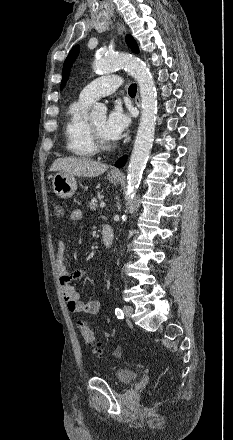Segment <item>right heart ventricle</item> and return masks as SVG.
Masks as SVG:
<instances>
[{
	"label": "right heart ventricle",
	"mask_w": 233,
	"mask_h": 440,
	"mask_svg": "<svg viewBox=\"0 0 233 440\" xmlns=\"http://www.w3.org/2000/svg\"><path fill=\"white\" fill-rule=\"evenodd\" d=\"M88 106L89 103L80 99L71 103L64 126L67 150L80 158L92 157L97 153L86 119Z\"/></svg>",
	"instance_id": "obj_1"
}]
</instances>
